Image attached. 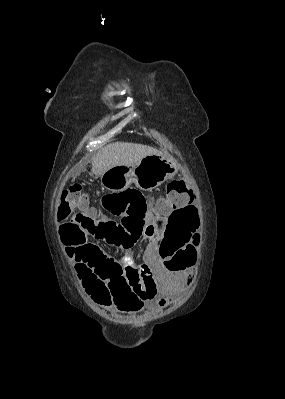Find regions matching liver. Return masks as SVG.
<instances>
[{
  "label": "liver",
  "mask_w": 285,
  "mask_h": 399,
  "mask_svg": "<svg viewBox=\"0 0 285 399\" xmlns=\"http://www.w3.org/2000/svg\"><path fill=\"white\" fill-rule=\"evenodd\" d=\"M161 154L157 149L136 143L115 142L106 145L92 158V173L102 176L104 172L115 166H133L144 157Z\"/></svg>",
  "instance_id": "6515ba94"
}]
</instances>
